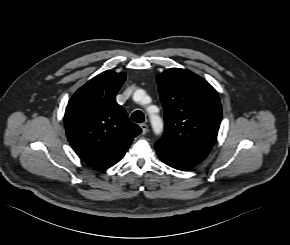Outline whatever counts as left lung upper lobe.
<instances>
[{
  "instance_id": "obj_1",
  "label": "left lung upper lobe",
  "mask_w": 290,
  "mask_h": 245,
  "mask_svg": "<svg viewBox=\"0 0 290 245\" xmlns=\"http://www.w3.org/2000/svg\"><path fill=\"white\" fill-rule=\"evenodd\" d=\"M165 131L156 143L184 159L200 163L210 152L222 109L216 90L202 77L171 68L157 77Z\"/></svg>"
}]
</instances>
